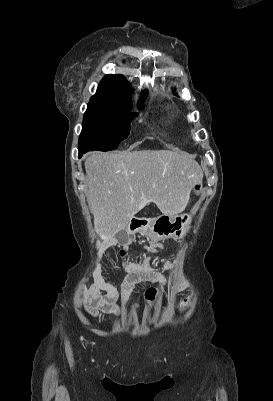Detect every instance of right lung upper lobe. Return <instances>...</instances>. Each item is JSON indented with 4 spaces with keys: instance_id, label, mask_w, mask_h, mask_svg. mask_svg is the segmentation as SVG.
<instances>
[{
    "instance_id": "right-lung-upper-lobe-1",
    "label": "right lung upper lobe",
    "mask_w": 273,
    "mask_h": 401,
    "mask_svg": "<svg viewBox=\"0 0 273 401\" xmlns=\"http://www.w3.org/2000/svg\"><path fill=\"white\" fill-rule=\"evenodd\" d=\"M132 89L130 84L121 75H106L100 82L97 92L90 101L130 107ZM145 92L138 103L141 104L146 97Z\"/></svg>"
}]
</instances>
